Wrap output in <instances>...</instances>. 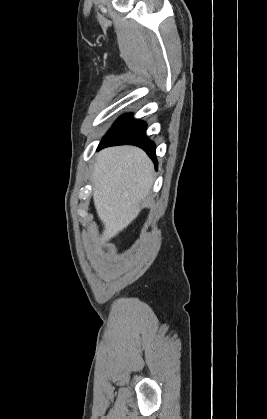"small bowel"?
Returning a JSON list of instances; mask_svg holds the SVG:
<instances>
[{
	"label": "small bowel",
	"mask_w": 267,
	"mask_h": 419,
	"mask_svg": "<svg viewBox=\"0 0 267 419\" xmlns=\"http://www.w3.org/2000/svg\"><path fill=\"white\" fill-rule=\"evenodd\" d=\"M106 255L108 258H113L115 255V250L112 246L106 247Z\"/></svg>",
	"instance_id": "1"
}]
</instances>
